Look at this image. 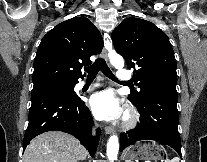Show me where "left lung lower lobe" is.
Returning <instances> with one entry per match:
<instances>
[{
    "label": "left lung lower lobe",
    "instance_id": "1",
    "mask_svg": "<svg viewBox=\"0 0 207 162\" xmlns=\"http://www.w3.org/2000/svg\"><path fill=\"white\" fill-rule=\"evenodd\" d=\"M177 96L158 94L135 105L141 115L136 129L120 135V151L139 140H154L169 145L181 155L178 132Z\"/></svg>",
    "mask_w": 207,
    "mask_h": 162
}]
</instances>
